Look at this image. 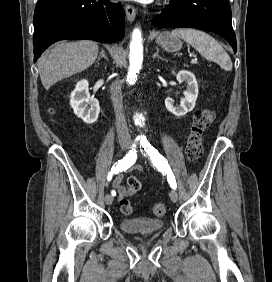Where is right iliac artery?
<instances>
[{
	"instance_id": "right-iliac-artery-1",
	"label": "right iliac artery",
	"mask_w": 272,
	"mask_h": 282,
	"mask_svg": "<svg viewBox=\"0 0 272 282\" xmlns=\"http://www.w3.org/2000/svg\"><path fill=\"white\" fill-rule=\"evenodd\" d=\"M134 146L135 144H133V147ZM136 159H137V153L134 148L128 154H126V156L123 159L119 160L118 162L115 163V165H113L111 171L108 174L107 179L111 180L114 174H118L119 172L125 171L126 169L131 167L135 163ZM111 194L112 196H115L116 192L112 190Z\"/></svg>"
}]
</instances>
